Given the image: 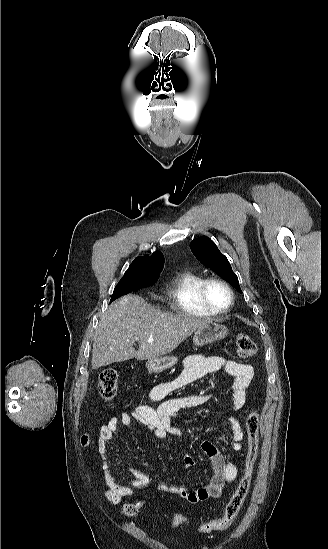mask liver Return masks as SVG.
<instances>
[{
	"instance_id": "6515ba94",
	"label": "liver",
	"mask_w": 328,
	"mask_h": 549,
	"mask_svg": "<svg viewBox=\"0 0 328 549\" xmlns=\"http://www.w3.org/2000/svg\"><path fill=\"white\" fill-rule=\"evenodd\" d=\"M208 321L184 313H161L138 295L121 297L100 317L94 335L92 369L134 357L137 361L162 357ZM135 341L138 351L133 349Z\"/></svg>"
}]
</instances>
